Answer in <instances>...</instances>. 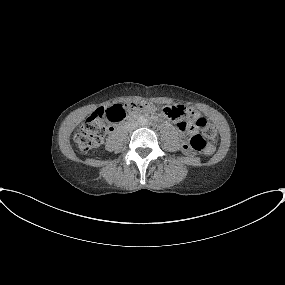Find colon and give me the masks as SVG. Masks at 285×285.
I'll list each match as a JSON object with an SVG mask.
<instances>
[{"mask_svg":"<svg viewBox=\"0 0 285 285\" xmlns=\"http://www.w3.org/2000/svg\"><path fill=\"white\" fill-rule=\"evenodd\" d=\"M155 105L148 101L128 102L124 104H116L108 109L100 107L96 109L81 125L75 134V141L81 151H89L98 146L109 125L122 122L126 117L135 111L154 110ZM164 114L171 120H180L186 113L181 105H171L163 108ZM193 126V127H192ZM203 126L202 132L193 131L195 127ZM181 128L187 131L186 138L183 143L185 152H204L210 155L214 152V146L207 139L216 138L217 131L213 125H206L205 120L200 117L193 122L183 121Z\"/></svg>","mask_w":285,"mask_h":285,"instance_id":"colon-1","label":"colon"}]
</instances>
